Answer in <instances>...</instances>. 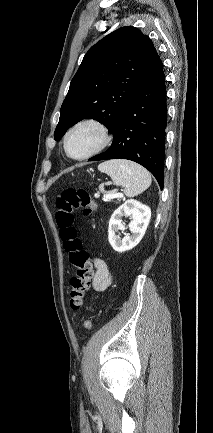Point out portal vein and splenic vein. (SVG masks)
I'll return each mask as SVG.
<instances>
[{"instance_id": "18ae733b", "label": "portal vein and splenic vein", "mask_w": 213, "mask_h": 433, "mask_svg": "<svg viewBox=\"0 0 213 433\" xmlns=\"http://www.w3.org/2000/svg\"><path fill=\"white\" fill-rule=\"evenodd\" d=\"M118 197L117 195H111V194H105L104 195V200H108V199H113Z\"/></svg>"}]
</instances>
